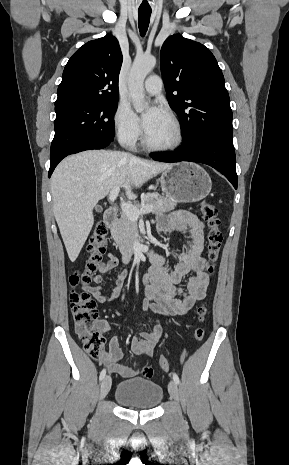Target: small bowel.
<instances>
[{"label":"small bowel","mask_w":289,"mask_h":465,"mask_svg":"<svg viewBox=\"0 0 289 465\" xmlns=\"http://www.w3.org/2000/svg\"><path fill=\"white\" fill-rule=\"evenodd\" d=\"M157 229L164 233L179 232L184 236L186 243L182 248L174 251L173 266H170L163 256H158V259L152 262L148 274L144 277L146 300L142 309H151L165 316L183 315L196 301L205 298L210 284L208 264L203 257L205 225L197 216L187 211H175L161 216L157 222ZM118 264V259L109 253L108 261L98 264L99 274L93 278L97 285L85 288L101 304L118 300L122 296L127 278L125 270L118 274L115 286L109 293H106L101 286L104 274L116 268ZM190 273L191 277L186 288H181L182 279ZM98 325L105 332L110 330L105 321L98 322ZM162 334V325L159 321H155L150 331L139 332L131 339V350L136 354L151 356ZM122 357L118 338L112 336L108 342V351L103 352L100 361L111 372L118 373L122 377L136 375V369L120 363Z\"/></svg>","instance_id":"obj_1"}]
</instances>
